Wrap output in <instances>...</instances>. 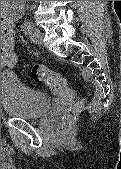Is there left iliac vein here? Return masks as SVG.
<instances>
[{
    "label": "left iliac vein",
    "instance_id": "obj_1",
    "mask_svg": "<svg viewBox=\"0 0 121 169\" xmlns=\"http://www.w3.org/2000/svg\"><path fill=\"white\" fill-rule=\"evenodd\" d=\"M29 37H30V40L36 45H39V46L42 45L43 33L39 29L33 27L29 32Z\"/></svg>",
    "mask_w": 121,
    "mask_h": 169
}]
</instances>
